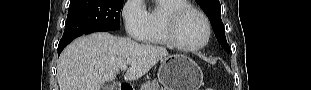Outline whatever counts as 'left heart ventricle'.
Wrapping results in <instances>:
<instances>
[{
	"label": "left heart ventricle",
	"instance_id": "1",
	"mask_svg": "<svg viewBox=\"0 0 311 90\" xmlns=\"http://www.w3.org/2000/svg\"><path fill=\"white\" fill-rule=\"evenodd\" d=\"M178 35L185 45L201 43L206 36L204 21L194 12L187 13L179 24Z\"/></svg>",
	"mask_w": 311,
	"mask_h": 90
}]
</instances>
